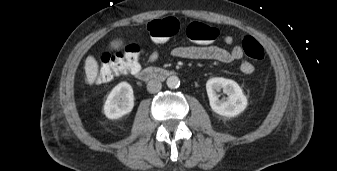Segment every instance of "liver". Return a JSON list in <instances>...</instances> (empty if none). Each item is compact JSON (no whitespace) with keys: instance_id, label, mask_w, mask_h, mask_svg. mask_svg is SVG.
Instances as JSON below:
<instances>
[{"instance_id":"1","label":"liver","mask_w":337,"mask_h":171,"mask_svg":"<svg viewBox=\"0 0 337 171\" xmlns=\"http://www.w3.org/2000/svg\"><path fill=\"white\" fill-rule=\"evenodd\" d=\"M85 72L87 80L93 84L98 74V63L93 56H88L85 61Z\"/></svg>"}]
</instances>
